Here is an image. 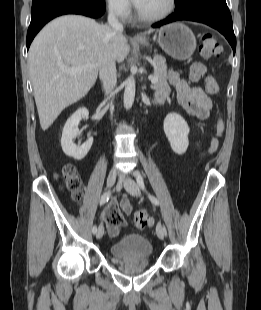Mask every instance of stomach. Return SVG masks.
I'll use <instances>...</instances> for the list:
<instances>
[{
	"label": "stomach",
	"mask_w": 261,
	"mask_h": 310,
	"mask_svg": "<svg viewBox=\"0 0 261 310\" xmlns=\"http://www.w3.org/2000/svg\"><path fill=\"white\" fill-rule=\"evenodd\" d=\"M147 45L146 41H139ZM160 47L171 57L186 60L196 49V38L191 29L180 22L171 23L162 27L158 34Z\"/></svg>",
	"instance_id": "1"
}]
</instances>
